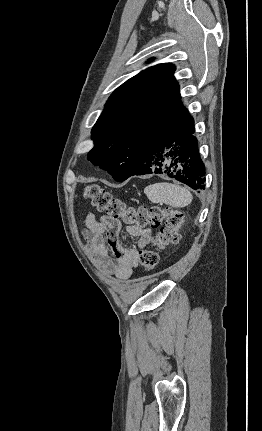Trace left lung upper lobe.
<instances>
[{
    "mask_svg": "<svg viewBox=\"0 0 262 431\" xmlns=\"http://www.w3.org/2000/svg\"><path fill=\"white\" fill-rule=\"evenodd\" d=\"M169 63L149 67L118 87L92 129V164L116 181L126 180L135 159L151 152L177 129L193 124L182 105Z\"/></svg>",
    "mask_w": 262,
    "mask_h": 431,
    "instance_id": "left-lung-upper-lobe-1",
    "label": "left lung upper lobe"
}]
</instances>
